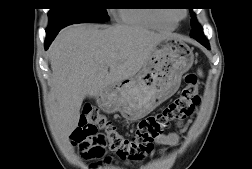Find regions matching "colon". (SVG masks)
Segmentation results:
<instances>
[{
	"mask_svg": "<svg viewBox=\"0 0 252 169\" xmlns=\"http://www.w3.org/2000/svg\"><path fill=\"white\" fill-rule=\"evenodd\" d=\"M199 90L197 75L186 74L179 95L161 111L140 120L131 136L124 135L103 113L85 105L71 140L83 158L94 161L95 168L110 160L105 156L107 149L122 160L140 161L152 151L155 139L193 113L200 102Z\"/></svg>",
	"mask_w": 252,
	"mask_h": 169,
	"instance_id": "obj_1",
	"label": "colon"
}]
</instances>
